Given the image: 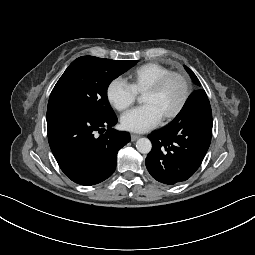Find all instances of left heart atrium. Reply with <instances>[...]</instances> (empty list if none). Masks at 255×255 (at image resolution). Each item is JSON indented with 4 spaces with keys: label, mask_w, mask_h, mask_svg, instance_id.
Returning a JSON list of instances; mask_svg holds the SVG:
<instances>
[{
    "label": "left heart atrium",
    "mask_w": 255,
    "mask_h": 255,
    "mask_svg": "<svg viewBox=\"0 0 255 255\" xmlns=\"http://www.w3.org/2000/svg\"><path fill=\"white\" fill-rule=\"evenodd\" d=\"M163 115L150 103L134 108L121 117V125L132 132H146L160 123Z\"/></svg>",
    "instance_id": "left-heart-atrium-1"
}]
</instances>
